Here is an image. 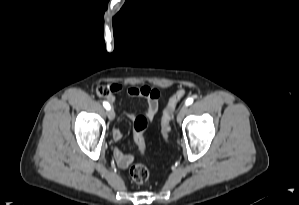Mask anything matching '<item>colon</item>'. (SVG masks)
<instances>
[{"instance_id":"colon-1","label":"colon","mask_w":299,"mask_h":205,"mask_svg":"<svg viewBox=\"0 0 299 205\" xmlns=\"http://www.w3.org/2000/svg\"><path fill=\"white\" fill-rule=\"evenodd\" d=\"M113 89L111 86H99L96 93L99 97L110 98ZM184 89L178 90L168 101L161 119V132L164 139L167 141L170 132V121L173 117L177 104L185 96ZM148 120L144 115H137L133 120L134 140L141 152L145 151L144 132L147 128ZM129 176L133 182L143 184L148 180L149 172L142 164H134L129 170Z\"/></svg>"}]
</instances>
